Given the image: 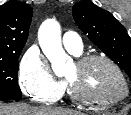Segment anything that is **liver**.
<instances>
[{
    "label": "liver",
    "mask_w": 131,
    "mask_h": 115,
    "mask_svg": "<svg viewBox=\"0 0 131 115\" xmlns=\"http://www.w3.org/2000/svg\"><path fill=\"white\" fill-rule=\"evenodd\" d=\"M0 115H83L81 112L60 108L33 107L28 104H0Z\"/></svg>",
    "instance_id": "1"
}]
</instances>
